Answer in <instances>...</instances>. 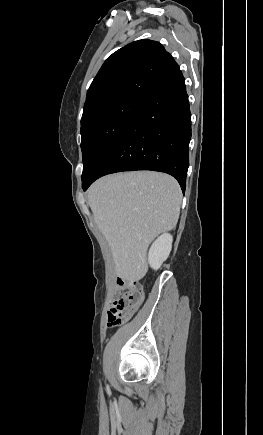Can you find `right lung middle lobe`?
Segmentation results:
<instances>
[{
    "mask_svg": "<svg viewBox=\"0 0 263 435\" xmlns=\"http://www.w3.org/2000/svg\"><path fill=\"white\" fill-rule=\"evenodd\" d=\"M142 105L133 100L104 104L81 121L82 181L94 174Z\"/></svg>",
    "mask_w": 263,
    "mask_h": 435,
    "instance_id": "1",
    "label": "right lung middle lobe"
}]
</instances>
